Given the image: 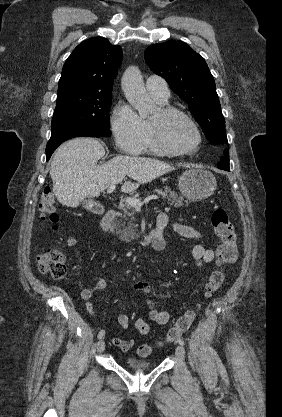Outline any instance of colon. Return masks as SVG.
<instances>
[{
	"label": "colon",
	"mask_w": 282,
	"mask_h": 417,
	"mask_svg": "<svg viewBox=\"0 0 282 417\" xmlns=\"http://www.w3.org/2000/svg\"><path fill=\"white\" fill-rule=\"evenodd\" d=\"M40 208L43 213L44 221L48 225L57 229L59 219L57 215V203L51 187H44L39 200ZM211 225L215 230L216 236L220 241L217 249L218 258L225 264H232L238 256V238L234 231L233 223L223 208H216L211 214ZM37 268L46 274H50L55 279L63 278L66 272L64 255L60 249L51 247L42 254L37 260ZM224 282V273L221 270L214 271L208 278L205 291L210 296L221 288ZM195 318L192 310L183 314L175 323L171 330H168L165 342L172 344L175 339H180L181 334L191 325ZM140 356H151L152 348L143 345L139 348Z\"/></svg>",
	"instance_id": "5ec220e1"
}]
</instances>
